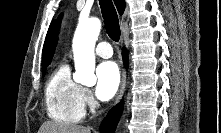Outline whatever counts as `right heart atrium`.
<instances>
[{"label":"right heart atrium","instance_id":"d8ad5b80","mask_svg":"<svg viewBox=\"0 0 221 133\" xmlns=\"http://www.w3.org/2000/svg\"><path fill=\"white\" fill-rule=\"evenodd\" d=\"M82 101L84 106L92 109L95 105L94 99L89 89L83 88L82 89Z\"/></svg>","mask_w":221,"mask_h":133}]
</instances>
